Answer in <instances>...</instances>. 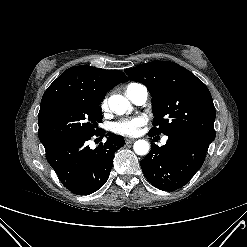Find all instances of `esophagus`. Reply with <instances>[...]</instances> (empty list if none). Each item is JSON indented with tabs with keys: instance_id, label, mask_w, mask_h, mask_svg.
Here are the masks:
<instances>
[{
	"instance_id": "34e87169",
	"label": "esophagus",
	"mask_w": 247,
	"mask_h": 247,
	"mask_svg": "<svg viewBox=\"0 0 247 247\" xmlns=\"http://www.w3.org/2000/svg\"><path fill=\"white\" fill-rule=\"evenodd\" d=\"M134 141H135L134 138H126V139H125V142H126L127 144H131V143H133Z\"/></svg>"
}]
</instances>
